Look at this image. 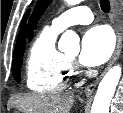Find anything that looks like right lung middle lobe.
Here are the masks:
<instances>
[{"label": "right lung middle lobe", "mask_w": 123, "mask_h": 113, "mask_svg": "<svg viewBox=\"0 0 123 113\" xmlns=\"http://www.w3.org/2000/svg\"><path fill=\"white\" fill-rule=\"evenodd\" d=\"M25 47L14 51L13 53V64H12V73L13 77L17 82H20V71L22 66V60H23V52Z\"/></svg>", "instance_id": "right-lung-middle-lobe-1"}]
</instances>
